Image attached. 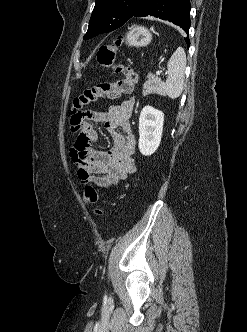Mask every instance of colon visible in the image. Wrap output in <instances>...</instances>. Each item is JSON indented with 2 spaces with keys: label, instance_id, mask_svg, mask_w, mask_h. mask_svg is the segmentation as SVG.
I'll use <instances>...</instances> for the list:
<instances>
[{
  "label": "colon",
  "instance_id": "1",
  "mask_svg": "<svg viewBox=\"0 0 247 332\" xmlns=\"http://www.w3.org/2000/svg\"><path fill=\"white\" fill-rule=\"evenodd\" d=\"M115 50L116 47L113 45L101 46L97 52V60L102 66L112 67L116 73L121 74V77L115 81L100 82L91 88L85 89L73 99V115L71 119L73 130H77L82 122L84 114L82 108L84 106L105 98L114 99L133 91L137 82V74L129 66L115 64ZM83 196L87 204L93 205L98 202V193L91 185L85 187ZM94 213L101 216L103 215V210L96 208Z\"/></svg>",
  "mask_w": 247,
  "mask_h": 332
}]
</instances>
